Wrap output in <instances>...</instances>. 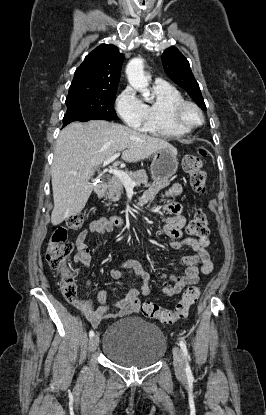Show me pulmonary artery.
Returning <instances> with one entry per match:
<instances>
[{"instance_id": "1", "label": "pulmonary artery", "mask_w": 266, "mask_h": 415, "mask_svg": "<svg viewBox=\"0 0 266 415\" xmlns=\"http://www.w3.org/2000/svg\"><path fill=\"white\" fill-rule=\"evenodd\" d=\"M156 82H162V80L161 79H157Z\"/></svg>"}]
</instances>
